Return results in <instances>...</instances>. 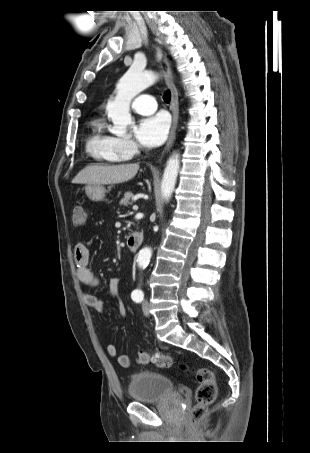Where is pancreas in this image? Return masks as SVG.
<instances>
[{
    "mask_svg": "<svg viewBox=\"0 0 310 453\" xmlns=\"http://www.w3.org/2000/svg\"><path fill=\"white\" fill-rule=\"evenodd\" d=\"M133 193L132 192H126L124 194V198H122L119 202L120 206H129L131 205V202H130V199L133 197Z\"/></svg>",
    "mask_w": 310,
    "mask_h": 453,
    "instance_id": "pancreas-1",
    "label": "pancreas"
}]
</instances>
